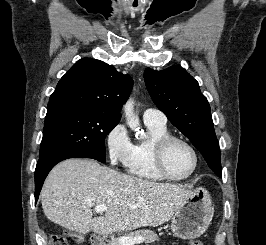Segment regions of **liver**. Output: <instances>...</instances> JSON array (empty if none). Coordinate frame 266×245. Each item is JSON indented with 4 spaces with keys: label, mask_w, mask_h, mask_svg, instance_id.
I'll use <instances>...</instances> for the list:
<instances>
[{
    "label": "liver",
    "mask_w": 266,
    "mask_h": 245,
    "mask_svg": "<svg viewBox=\"0 0 266 245\" xmlns=\"http://www.w3.org/2000/svg\"><path fill=\"white\" fill-rule=\"evenodd\" d=\"M191 195L180 185L122 175L94 159H67L49 173L40 197L52 223L83 235H113L167 223ZM96 205H106L105 217L93 219Z\"/></svg>",
    "instance_id": "1"
}]
</instances>
